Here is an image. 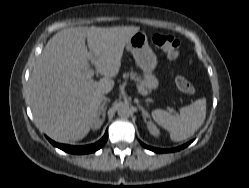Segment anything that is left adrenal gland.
<instances>
[{
	"label": "left adrenal gland",
	"mask_w": 249,
	"mask_h": 188,
	"mask_svg": "<svg viewBox=\"0 0 249 188\" xmlns=\"http://www.w3.org/2000/svg\"><path fill=\"white\" fill-rule=\"evenodd\" d=\"M138 108L142 111L144 121L146 122L147 121L146 119L149 117V113L139 104H138Z\"/></svg>",
	"instance_id": "1"
}]
</instances>
